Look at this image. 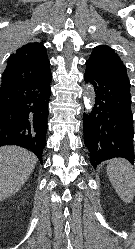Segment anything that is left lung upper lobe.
<instances>
[{"label":"left lung upper lobe","instance_id":"obj_1","mask_svg":"<svg viewBox=\"0 0 135 249\" xmlns=\"http://www.w3.org/2000/svg\"><path fill=\"white\" fill-rule=\"evenodd\" d=\"M86 64L95 67L107 75L129 80L125 65L118 54L109 46L100 45L95 47Z\"/></svg>","mask_w":135,"mask_h":249}]
</instances>
